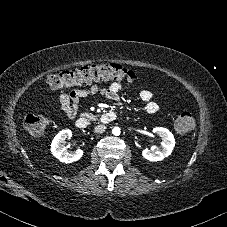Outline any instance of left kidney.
Wrapping results in <instances>:
<instances>
[{
    "label": "left kidney",
    "instance_id": "5707ae66",
    "mask_svg": "<svg viewBox=\"0 0 227 227\" xmlns=\"http://www.w3.org/2000/svg\"><path fill=\"white\" fill-rule=\"evenodd\" d=\"M153 133L161 137V148L157 150H149L146 148L143 150L142 155L145 159L156 162L163 160L172 153L175 146V139L173 134L167 128L155 127Z\"/></svg>",
    "mask_w": 227,
    "mask_h": 227
}]
</instances>
